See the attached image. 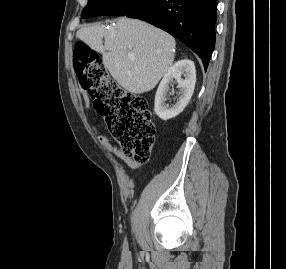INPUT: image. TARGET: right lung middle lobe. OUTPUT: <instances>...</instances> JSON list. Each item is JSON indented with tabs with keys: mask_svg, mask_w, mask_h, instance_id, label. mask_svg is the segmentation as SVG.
<instances>
[{
	"mask_svg": "<svg viewBox=\"0 0 286 269\" xmlns=\"http://www.w3.org/2000/svg\"><path fill=\"white\" fill-rule=\"evenodd\" d=\"M151 0H88L81 13L82 18L98 15H128Z\"/></svg>",
	"mask_w": 286,
	"mask_h": 269,
	"instance_id": "obj_1",
	"label": "right lung middle lobe"
}]
</instances>
